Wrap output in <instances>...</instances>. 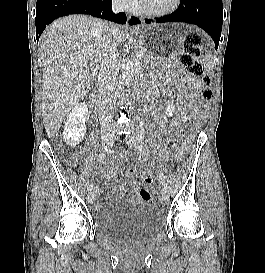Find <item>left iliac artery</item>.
Listing matches in <instances>:
<instances>
[{
  "instance_id": "obj_1",
  "label": "left iliac artery",
  "mask_w": 265,
  "mask_h": 273,
  "mask_svg": "<svg viewBox=\"0 0 265 273\" xmlns=\"http://www.w3.org/2000/svg\"><path fill=\"white\" fill-rule=\"evenodd\" d=\"M137 137L140 138L141 140L144 139V133L142 132V130L137 131ZM159 180L162 184H165V176L163 173H160Z\"/></svg>"
}]
</instances>
